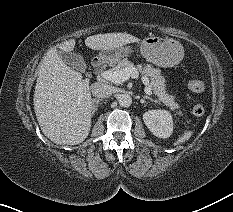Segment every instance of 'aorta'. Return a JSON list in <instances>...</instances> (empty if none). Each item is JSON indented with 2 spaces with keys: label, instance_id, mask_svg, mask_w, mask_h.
Returning a JSON list of instances; mask_svg holds the SVG:
<instances>
[{
  "label": "aorta",
  "instance_id": "aorta-1",
  "mask_svg": "<svg viewBox=\"0 0 233 212\" xmlns=\"http://www.w3.org/2000/svg\"><path fill=\"white\" fill-rule=\"evenodd\" d=\"M118 102L121 107H129L132 104V98L128 94H122L119 96Z\"/></svg>",
  "mask_w": 233,
  "mask_h": 212
}]
</instances>
